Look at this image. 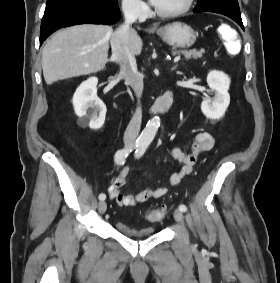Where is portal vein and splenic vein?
I'll return each mask as SVG.
<instances>
[{
    "label": "portal vein and splenic vein",
    "mask_w": 280,
    "mask_h": 283,
    "mask_svg": "<svg viewBox=\"0 0 280 283\" xmlns=\"http://www.w3.org/2000/svg\"><path fill=\"white\" fill-rule=\"evenodd\" d=\"M181 59V56L180 55H178V56H176L175 58H174V63H176V62H178L179 60Z\"/></svg>",
    "instance_id": "portal-vein-and-splenic-vein-1"
}]
</instances>
